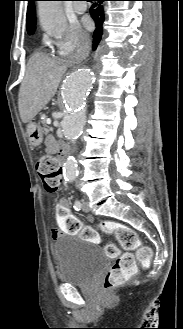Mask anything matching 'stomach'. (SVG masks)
<instances>
[{"label": "stomach", "mask_w": 183, "mask_h": 329, "mask_svg": "<svg viewBox=\"0 0 183 329\" xmlns=\"http://www.w3.org/2000/svg\"><path fill=\"white\" fill-rule=\"evenodd\" d=\"M26 131H27L29 143L31 146L36 147L42 143L44 131L41 128V126L39 125V123L30 121L27 124Z\"/></svg>", "instance_id": "0dacf381"}]
</instances>
